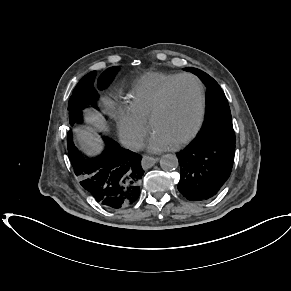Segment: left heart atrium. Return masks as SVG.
I'll return each instance as SVG.
<instances>
[{
    "instance_id": "obj_1",
    "label": "left heart atrium",
    "mask_w": 291,
    "mask_h": 291,
    "mask_svg": "<svg viewBox=\"0 0 291 291\" xmlns=\"http://www.w3.org/2000/svg\"><path fill=\"white\" fill-rule=\"evenodd\" d=\"M149 149L153 152H158L161 150H165L172 146V144L164 139L163 137L159 136L156 133H153L150 140H149Z\"/></svg>"
}]
</instances>
